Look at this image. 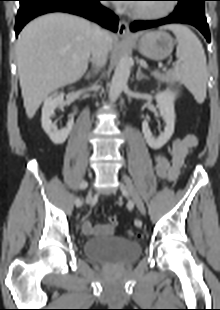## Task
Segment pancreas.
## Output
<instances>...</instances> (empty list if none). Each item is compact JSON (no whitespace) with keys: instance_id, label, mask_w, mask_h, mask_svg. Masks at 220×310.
Listing matches in <instances>:
<instances>
[{"instance_id":"obj_1","label":"pancreas","mask_w":220,"mask_h":310,"mask_svg":"<svg viewBox=\"0 0 220 310\" xmlns=\"http://www.w3.org/2000/svg\"><path fill=\"white\" fill-rule=\"evenodd\" d=\"M156 79L160 82L173 83L175 82V75L172 71H168L165 74L158 75Z\"/></svg>"}]
</instances>
